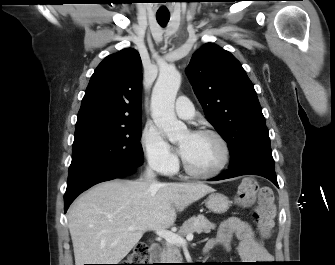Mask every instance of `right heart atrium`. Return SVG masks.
Masks as SVG:
<instances>
[{"label":"right heart atrium","instance_id":"d8ad5b80","mask_svg":"<svg viewBox=\"0 0 335 265\" xmlns=\"http://www.w3.org/2000/svg\"><path fill=\"white\" fill-rule=\"evenodd\" d=\"M141 146L145 159L151 168L164 175L174 172L177 158L161 132L151 123L146 124L143 129Z\"/></svg>","mask_w":335,"mask_h":265}]
</instances>
